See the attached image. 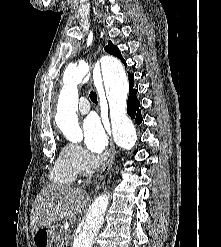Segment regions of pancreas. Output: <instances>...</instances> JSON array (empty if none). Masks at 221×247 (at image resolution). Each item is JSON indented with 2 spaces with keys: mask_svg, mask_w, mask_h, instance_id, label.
<instances>
[{
  "mask_svg": "<svg viewBox=\"0 0 221 247\" xmlns=\"http://www.w3.org/2000/svg\"><path fill=\"white\" fill-rule=\"evenodd\" d=\"M53 230V241L55 247H64L66 238L63 236V231L60 226H56Z\"/></svg>",
  "mask_w": 221,
  "mask_h": 247,
  "instance_id": "cf45deb5",
  "label": "pancreas"
}]
</instances>
